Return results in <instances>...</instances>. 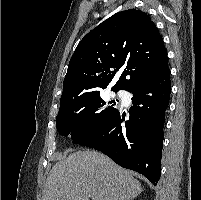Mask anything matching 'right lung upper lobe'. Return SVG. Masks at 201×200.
Wrapping results in <instances>:
<instances>
[{"label":"right lung upper lobe","instance_id":"obj_1","mask_svg":"<svg viewBox=\"0 0 201 200\" xmlns=\"http://www.w3.org/2000/svg\"><path fill=\"white\" fill-rule=\"evenodd\" d=\"M168 69L162 36L150 17L136 9L121 11L78 44L63 82L61 102L100 92L112 82H116L113 91L130 92Z\"/></svg>","mask_w":201,"mask_h":200}]
</instances>
